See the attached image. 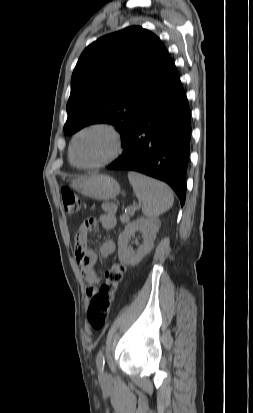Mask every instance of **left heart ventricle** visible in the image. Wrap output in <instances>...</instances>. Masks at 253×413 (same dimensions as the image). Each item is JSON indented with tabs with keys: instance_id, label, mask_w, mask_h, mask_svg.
Here are the masks:
<instances>
[{
	"instance_id": "obj_1",
	"label": "left heart ventricle",
	"mask_w": 253,
	"mask_h": 413,
	"mask_svg": "<svg viewBox=\"0 0 253 413\" xmlns=\"http://www.w3.org/2000/svg\"><path fill=\"white\" fill-rule=\"evenodd\" d=\"M111 148V138L105 132H86L75 143L74 158L80 164H92L104 158Z\"/></svg>"
}]
</instances>
